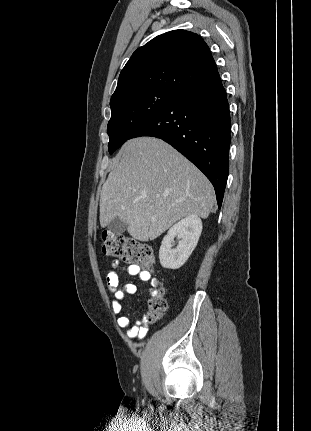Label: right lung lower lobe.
Returning <instances> with one entry per match:
<instances>
[{"mask_svg":"<svg viewBox=\"0 0 311 431\" xmlns=\"http://www.w3.org/2000/svg\"><path fill=\"white\" fill-rule=\"evenodd\" d=\"M231 120L220 76L190 88L140 125L130 138H160L195 164L213 184L219 208L228 178Z\"/></svg>","mask_w":311,"mask_h":431,"instance_id":"1","label":"right lung lower lobe"}]
</instances>
